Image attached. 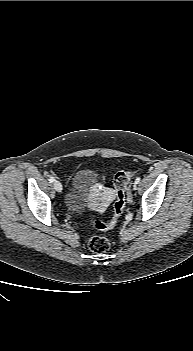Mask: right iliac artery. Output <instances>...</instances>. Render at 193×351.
<instances>
[{"instance_id":"obj_1","label":"right iliac artery","mask_w":193,"mask_h":351,"mask_svg":"<svg viewBox=\"0 0 193 351\" xmlns=\"http://www.w3.org/2000/svg\"><path fill=\"white\" fill-rule=\"evenodd\" d=\"M49 181H50V183H53L55 180H54L53 177H50V178H49Z\"/></svg>"}]
</instances>
